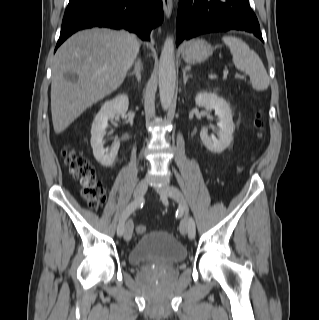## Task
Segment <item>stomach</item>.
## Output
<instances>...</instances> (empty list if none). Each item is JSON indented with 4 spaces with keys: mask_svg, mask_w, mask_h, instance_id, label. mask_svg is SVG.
<instances>
[{
    "mask_svg": "<svg viewBox=\"0 0 319 320\" xmlns=\"http://www.w3.org/2000/svg\"><path fill=\"white\" fill-rule=\"evenodd\" d=\"M213 53V48L203 39H193L182 47V58L188 64L202 63Z\"/></svg>",
    "mask_w": 319,
    "mask_h": 320,
    "instance_id": "stomach-1",
    "label": "stomach"
}]
</instances>
